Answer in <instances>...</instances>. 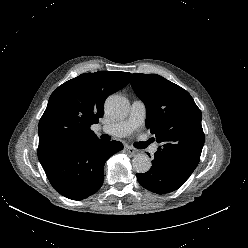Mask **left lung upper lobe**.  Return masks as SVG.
Returning <instances> with one entry per match:
<instances>
[{"label":"left lung upper lobe","mask_w":248,"mask_h":248,"mask_svg":"<svg viewBox=\"0 0 248 248\" xmlns=\"http://www.w3.org/2000/svg\"><path fill=\"white\" fill-rule=\"evenodd\" d=\"M131 85L146 106V127L161 144L155 156L191 175L204 145L202 115L193 98L157 74L134 73Z\"/></svg>","instance_id":"1"}]
</instances>
